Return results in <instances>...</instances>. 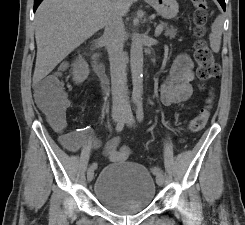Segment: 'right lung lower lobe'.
<instances>
[{
  "label": "right lung lower lobe",
  "instance_id": "right-lung-lower-lobe-1",
  "mask_svg": "<svg viewBox=\"0 0 245 225\" xmlns=\"http://www.w3.org/2000/svg\"><path fill=\"white\" fill-rule=\"evenodd\" d=\"M43 0H34V11L37 9V7L39 6V4L42 2Z\"/></svg>",
  "mask_w": 245,
  "mask_h": 225
}]
</instances>
